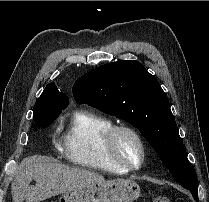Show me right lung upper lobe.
Instances as JSON below:
<instances>
[{"label": "right lung upper lobe", "instance_id": "obj_1", "mask_svg": "<svg viewBox=\"0 0 209 202\" xmlns=\"http://www.w3.org/2000/svg\"><path fill=\"white\" fill-rule=\"evenodd\" d=\"M43 95H49V103L55 107L66 108L69 104L68 97L64 93L59 92L54 82L46 86L41 96Z\"/></svg>", "mask_w": 209, "mask_h": 202}]
</instances>
